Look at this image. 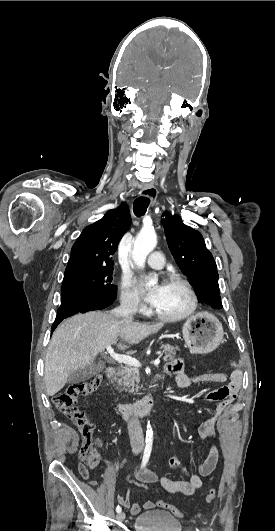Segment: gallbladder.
I'll return each instance as SVG.
<instances>
[{
    "label": "gallbladder",
    "mask_w": 275,
    "mask_h": 531,
    "mask_svg": "<svg viewBox=\"0 0 275 531\" xmlns=\"http://www.w3.org/2000/svg\"><path fill=\"white\" fill-rule=\"evenodd\" d=\"M103 369H105V363H103V361H99V363H92V365H88V367H84V369H77V371L70 373L68 377V383H70V385L83 383V381H88V379H91V377H94V375L101 373Z\"/></svg>",
    "instance_id": "1"
}]
</instances>
